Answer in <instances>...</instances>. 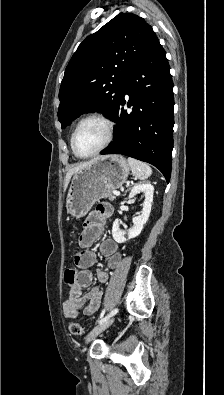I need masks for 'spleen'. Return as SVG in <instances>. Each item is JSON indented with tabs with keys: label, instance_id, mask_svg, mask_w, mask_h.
Masks as SVG:
<instances>
[{
	"label": "spleen",
	"instance_id": "obj_1",
	"mask_svg": "<svg viewBox=\"0 0 224 395\" xmlns=\"http://www.w3.org/2000/svg\"><path fill=\"white\" fill-rule=\"evenodd\" d=\"M128 163L133 175L140 180H145L152 174L151 167L146 163L131 157H128Z\"/></svg>",
	"mask_w": 224,
	"mask_h": 395
}]
</instances>
